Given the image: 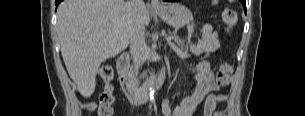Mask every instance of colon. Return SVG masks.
<instances>
[{
	"label": "colon",
	"instance_id": "colon-1",
	"mask_svg": "<svg viewBox=\"0 0 305 116\" xmlns=\"http://www.w3.org/2000/svg\"><path fill=\"white\" fill-rule=\"evenodd\" d=\"M222 21L228 29L233 28L238 20V15L235 10L225 8L221 13ZM232 66L229 63H222L217 72V83L225 86L229 83L232 74ZM99 77L105 82V88L100 96V104L98 108L99 116H112L114 94L111 82L113 80V69L109 64H103L98 71Z\"/></svg>",
	"mask_w": 305,
	"mask_h": 116
}]
</instances>
